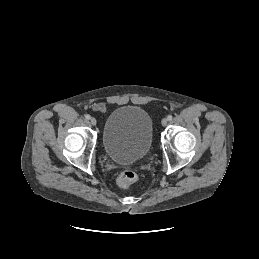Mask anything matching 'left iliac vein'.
Segmentation results:
<instances>
[{"instance_id":"obj_1","label":"left iliac vein","mask_w":259,"mask_h":259,"mask_svg":"<svg viewBox=\"0 0 259 259\" xmlns=\"http://www.w3.org/2000/svg\"><path fill=\"white\" fill-rule=\"evenodd\" d=\"M162 126H166L168 124V120L166 118L161 121Z\"/></svg>"}]
</instances>
